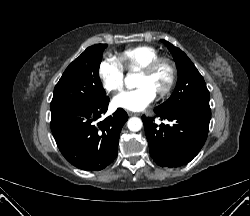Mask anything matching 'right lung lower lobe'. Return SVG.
<instances>
[{"label": "right lung lower lobe", "mask_w": 250, "mask_h": 216, "mask_svg": "<svg viewBox=\"0 0 250 216\" xmlns=\"http://www.w3.org/2000/svg\"><path fill=\"white\" fill-rule=\"evenodd\" d=\"M109 98L51 117V130L63 156L74 166L99 171L117 157L120 131L127 113L117 109L104 120Z\"/></svg>", "instance_id": "right-lung-lower-lobe-1"}]
</instances>
